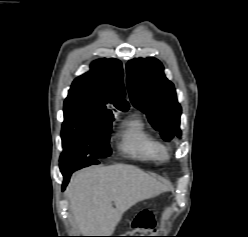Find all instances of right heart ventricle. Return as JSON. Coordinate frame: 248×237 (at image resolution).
Wrapping results in <instances>:
<instances>
[{"mask_svg": "<svg viewBox=\"0 0 248 237\" xmlns=\"http://www.w3.org/2000/svg\"><path fill=\"white\" fill-rule=\"evenodd\" d=\"M117 148L121 154L141 162L154 161V137L144 122L133 117L121 124L117 133Z\"/></svg>", "mask_w": 248, "mask_h": 237, "instance_id": "right-heart-ventricle-1", "label": "right heart ventricle"}]
</instances>
